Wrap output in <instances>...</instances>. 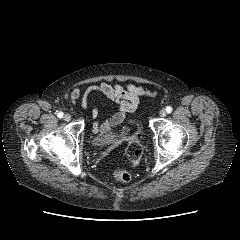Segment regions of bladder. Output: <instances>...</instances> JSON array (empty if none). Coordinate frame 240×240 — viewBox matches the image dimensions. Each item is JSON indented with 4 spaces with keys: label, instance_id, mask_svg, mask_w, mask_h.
Segmentation results:
<instances>
[{
    "label": "bladder",
    "instance_id": "bladder-1",
    "mask_svg": "<svg viewBox=\"0 0 240 240\" xmlns=\"http://www.w3.org/2000/svg\"><path fill=\"white\" fill-rule=\"evenodd\" d=\"M131 125L133 127L132 134L141 133L142 129L139 122L132 120ZM120 138H121L120 135H118L114 131H108L103 134L95 135L92 138L91 143L95 147H106V146L118 143L120 141Z\"/></svg>",
    "mask_w": 240,
    "mask_h": 240
}]
</instances>
